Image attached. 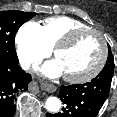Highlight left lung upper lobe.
<instances>
[{"label": "left lung upper lobe", "instance_id": "obj_1", "mask_svg": "<svg viewBox=\"0 0 117 117\" xmlns=\"http://www.w3.org/2000/svg\"><path fill=\"white\" fill-rule=\"evenodd\" d=\"M113 72H114V58L111 53V48L109 46L108 47V59H107L106 65L103 68V70L99 73V75L95 77L94 79H97L98 81L110 86Z\"/></svg>", "mask_w": 117, "mask_h": 117}]
</instances>
